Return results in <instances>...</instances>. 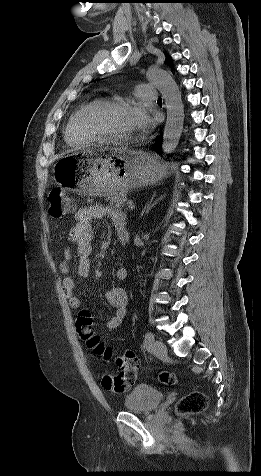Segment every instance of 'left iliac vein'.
<instances>
[{"instance_id": "left-iliac-vein-1", "label": "left iliac vein", "mask_w": 261, "mask_h": 476, "mask_svg": "<svg viewBox=\"0 0 261 476\" xmlns=\"http://www.w3.org/2000/svg\"><path fill=\"white\" fill-rule=\"evenodd\" d=\"M152 351L154 355L162 357L167 354V347L162 341L156 340L152 345Z\"/></svg>"}]
</instances>
